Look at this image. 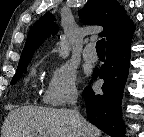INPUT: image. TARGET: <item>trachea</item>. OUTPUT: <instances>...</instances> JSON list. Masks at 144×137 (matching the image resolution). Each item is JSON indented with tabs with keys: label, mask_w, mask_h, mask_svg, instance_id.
Returning <instances> with one entry per match:
<instances>
[{
	"label": "trachea",
	"mask_w": 144,
	"mask_h": 137,
	"mask_svg": "<svg viewBox=\"0 0 144 137\" xmlns=\"http://www.w3.org/2000/svg\"><path fill=\"white\" fill-rule=\"evenodd\" d=\"M96 51L100 54H105V39H101L96 43Z\"/></svg>",
	"instance_id": "1"
}]
</instances>
